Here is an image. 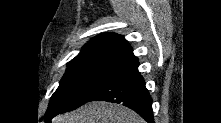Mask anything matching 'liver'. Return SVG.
<instances>
[{
  "mask_svg": "<svg viewBox=\"0 0 221 123\" xmlns=\"http://www.w3.org/2000/svg\"><path fill=\"white\" fill-rule=\"evenodd\" d=\"M52 123H145V121L137 113L122 105L96 101L55 117Z\"/></svg>",
  "mask_w": 221,
  "mask_h": 123,
  "instance_id": "6515ba94",
  "label": "liver"
}]
</instances>
